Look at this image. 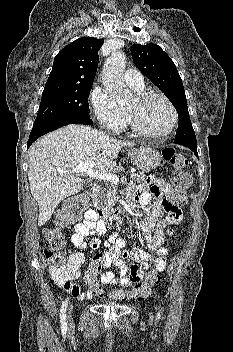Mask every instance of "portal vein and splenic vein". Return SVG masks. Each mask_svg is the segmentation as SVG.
<instances>
[{"label": "portal vein and splenic vein", "instance_id": "portal-vein-and-splenic-vein-1", "mask_svg": "<svg viewBox=\"0 0 233 352\" xmlns=\"http://www.w3.org/2000/svg\"><path fill=\"white\" fill-rule=\"evenodd\" d=\"M94 167V162H85L77 165L74 169L71 171H65V170H60L62 173H85L89 177L98 179V180H104V181H109L112 184H117L119 182V177L115 174L112 173H104V172H98L93 170Z\"/></svg>", "mask_w": 233, "mask_h": 352}]
</instances>
